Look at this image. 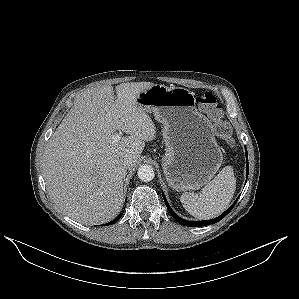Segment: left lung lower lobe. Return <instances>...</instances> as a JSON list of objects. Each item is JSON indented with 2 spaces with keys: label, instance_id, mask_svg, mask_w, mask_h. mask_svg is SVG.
<instances>
[{
  "label": "left lung lower lobe",
  "instance_id": "obj_1",
  "mask_svg": "<svg viewBox=\"0 0 299 299\" xmlns=\"http://www.w3.org/2000/svg\"><path fill=\"white\" fill-rule=\"evenodd\" d=\"M246 149V148H245ZM246 161H247V177H248V172H249V165H248V156H247V149H246ZM165 204L167 206V209L169 210L170 214L172 215V217L180 224L185 225V226H189V227H200V226H205V225H210L213 223H216L218 221H220L222 218H224L234 207V205L236 204L238 198L236 199V201L232 204V206L227 209V211H225L222 215H220L219 217L212 219V220H206V221H187L184 220L182 218H180L179 216H177L175 214V212L171 209V207L169 206V204L167 203L164 195H163Z\"/></svg>",
  "mask_w": 299,
  "mask_h": 299
}]
</instances>
